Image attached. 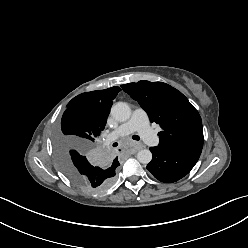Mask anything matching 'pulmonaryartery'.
Wrapping results in <instances>:
<instances>
[{
	"instance_id": "obj_1",
	"label": "pulmonary artery",
	"mask_w": 248,
	"mask_h": 248,
	"mask_svg": "<svg viewBox=\"0 0 248 248\" xmlns=\"http://www.w3.org/2000/svg\"><path fill=\"white\" fill-rule=\"evenodd\" d=\"M133 132H138L139 135L148 143H152L155 139V134L150 127L148 116L146 112L140 108L135 109L131 118L109 133L105 137V140L109 143L118 138L128 136Z\"/></svg>"
}]
</instances>
